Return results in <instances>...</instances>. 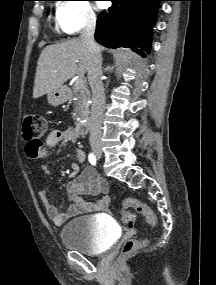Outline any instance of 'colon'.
Returning <instances> with one entry per match:
<instances>
[{"mask_svg":"<svg viewBox=\"0 0 216 285\" xmlns=\"http://www.w3.org/2000/svg\"><path fill=\"white\" fill-rule=\"evenodd\" d=\"M48 121L47 119L37 113L27 114L23 121L22 136L26 142V151L30 157H37L42 149V138L47 132ZM142 214L148 225L154 227L157 223V217L155 213L145 203L135 198H126L122 201V207L120 214L123 222L132 226L136 220V214ZM143 242L130 239L126 241L121 249V255L126 256L139 248Z\"/></svg>","mask_w":216,"mask_h":285,"instance_id":"5ec220e1","label":"colon"}]
</instances>
